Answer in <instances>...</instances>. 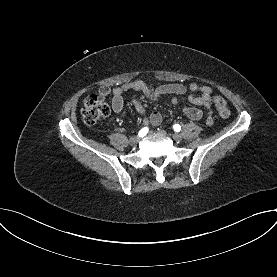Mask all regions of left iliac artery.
I'll return each instance as SVG.
<instances>
[{
	"label": "left iliac artery",
	"instance_id": "1",
	"mask_svg": "<svg viewBox=\"0 0 277 277\" xmlns=\"http://www.w3.org/2000/svg\"><path fill=\"white\" fill-rule=\"evenodd\" d=\"M173 129H174L176 132H179L180 129H181V126H180L179 124H175V125L173 126Z\"/></svg>",
	"mask_w": 277,
	"mask_h": 277
}]
</instances>
